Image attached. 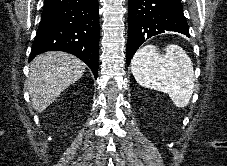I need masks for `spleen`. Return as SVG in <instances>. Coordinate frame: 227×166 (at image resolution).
I'll return each instance as SVG.
<instances>
[{
  "label": "spleen",
  "mask_w": 227,
  "mask_h": 166,
  "mask_svg": "<svg viewBox=\"0 0 227 166\" xmlns=\"http://www.w3.org/2000/svg\"><path fill=\"white\" fill-rule=\"evenodd\" d=\"M164 50L160 54L154 45L139 48L131 61L133 76L141 86L167 93L176 107L184 108L194 91L193 63L178 45Z\"/></svg>",
  "instance_id": "1"
}]
</instances>
